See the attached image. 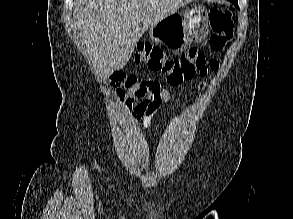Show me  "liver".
<instances>
[{
	"label": "liver",
	"mask_w": 293,
	"mask_h": 219,
	"mask_svg": "<svg viewBox=\"0 0 293 219\" xmlns=\"http://www.w3.org/2000/svg\"><path fill=\"white\" fill-rule=\"evenodd\" d=\"M194 0H75L73 29L100 77L122 69L142 34Z\"/></svg>",
	"instance_id": "6515ba94"
}]
</instances>
